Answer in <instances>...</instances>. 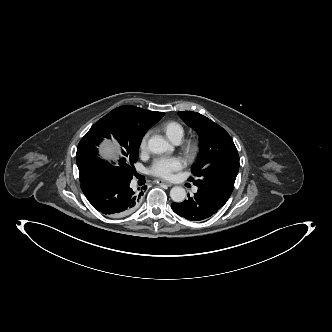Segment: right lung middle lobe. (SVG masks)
<instances>
[{
    "mask_svg": "<svg viewBox=\"0 0 332 332\" xmlns=\"http://www.w3.org/2000/svg\"><path fill=\"white\" fill-rule=\"evenodd\" d=\"M159 119L136 117L118 107L97 121L82 138L76 153L80 180L100 171H111L120 177H133L138 149L147 130ZM115 138L121 148L120 158L108 162L97 155L103 138Z\"/></svg>",
    "mask_w": 332,
    "mask_h": 332,
    "instance_id": "dd1d6c3e",
    "label": "right lung middle lobe"
}]
</instances>
